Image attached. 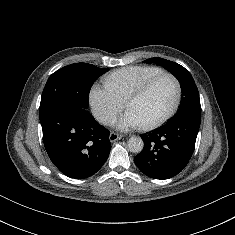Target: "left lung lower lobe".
<instances>
[{
    "mask_svg": "<svg viewBox=\"0 0 235 235\" xmlns=\"http://www.w3.org/2000/svg\"><path fill=\"white\" fill-rule=\"evenodd\" d=\"M200 118L186 115L142 135L144 148L134 158L140 171L154 179H169L181 172L193 154Z\"/></svg>",
    "mask_w": 235,
    "mask_h": 235,
    "instance_id": "obj_1",
    "label": "left lung lower lobe"
}]
</instances>
